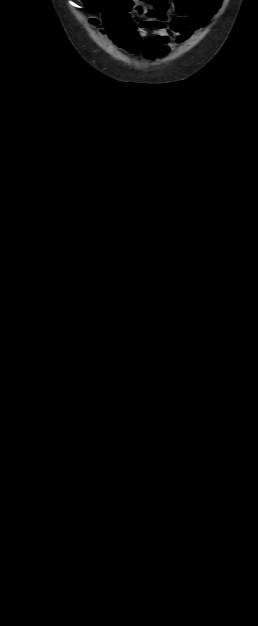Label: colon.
Returning a JSON list of instances; mask_svg holds the SVG:
<instances>
[{
	"label": "colon",
	"instance_id": "5ec220e1",
	"mask_svg": "<svg viewBox=\"0 0 258 626\" xmlns=\"http://www.w3.org/2000/svg\"><path fill=\"white\" fill-rule=\"evenodd\" d=\"M105 0H83V2L92 10L100 11L104 5ZM134 26L130 25V29H133Z\"/></svg>",
	"mask_w": 258,
	"mask_h": 626
}]
</instances>
